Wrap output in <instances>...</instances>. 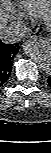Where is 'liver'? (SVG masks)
<instances>
[{
  "label": "liver",
  "instance_id": "6515ba94",
  "mask_svg": "<svg viewBox=\"0 0 51 153\" xmlns=\"http://www.w3.org/2000/svg\"><path fill=\"white\" fill-rule=\"evenodd\" d=\"M7 22H8L7 15L1 9V12H0V28L2 29L4 27H6Z\"/></svg>",
  "mask_w": 51,
  "mask_h": 153
}]
</instances>
